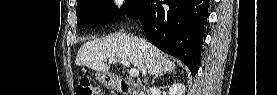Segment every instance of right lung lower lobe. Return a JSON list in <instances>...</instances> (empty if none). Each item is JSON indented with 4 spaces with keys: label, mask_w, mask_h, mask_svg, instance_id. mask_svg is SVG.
I'll return each instance as SVG.
<instances>
[{
    "label": "right lung lower lobe",
    "mask_w": 277,
    "mask_h": 95,
    "mask_svg": "<svg viewBox=\"0 0 277 95\" xmlns=\"http://www.w3.org/2000/svg\"><path fill=\"white\" fill-rule=\"evenodd\" d=\"M209 0H139L128 16L139 19L149 41L183 61L194 76L199 69Z\"/></svg>",
    "instance_id": "1"
}]
</instances>
